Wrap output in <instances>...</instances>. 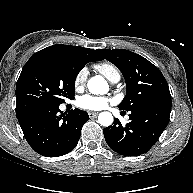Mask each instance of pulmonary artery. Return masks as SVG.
<instances>
[{
  "label": "pulmonary artery",
  "mask_w": 193,
  "mask_h": 193,
  "mask_svg": "<svg viewBox=\"0 0 193 193\" xmlns=\"http://www.w3.org/2000/svg\"><path fill=\"white\" fill-rule=\"evenodd\" d=\"M113 83H116V82H118V79H115L114 81H112Z\"/></svg>",
  "instance_id": "1"
}]
</instances>
